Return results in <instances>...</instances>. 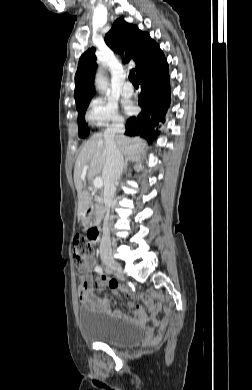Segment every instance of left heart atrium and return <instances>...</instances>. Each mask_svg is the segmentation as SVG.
Listing matches in <instances>:
<instances>
[{"instance_id":"obj_1","label":"left heart atrium","mask_w":252,"mask_h":390,"mask_svg":"<svg viewBox=\"0 0 252 390\" xmlns=\"http://www.w3.org/2000/svg\"><path fill=\"white\" fill-rule=\"evenodd\" d=\"M127 110H128L129 112H132V110H133L132 106H131V105H127Z\"/></svg>"}]
</instances>
